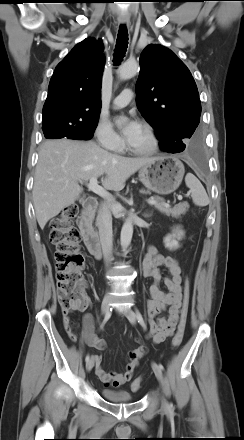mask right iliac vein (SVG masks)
<instances>
[{
  "instance_id": "right-iliac-vein-1",
  "label": "right iliac vein",
  "mask_w": 244,
  "mask_h": 440,
  "mask_svg": "<svg viewBox=\"0 0 244 440\" xmlns=\"http://www.w3.org/2000/svg\"><path fill=\"white\" fill-rule=\"evenodd\" d=\"M110 302H111V296H110L109 294H107V295L104 297V300H103L102 305H101V312H102V314H107V312H108V310H109V307H110ZM93 366H94V363H93V361L90 359V360L87 362V364H86V370H87L88 372L91 371L92 368H93Z\"/></svg>"
}]
</instances>
